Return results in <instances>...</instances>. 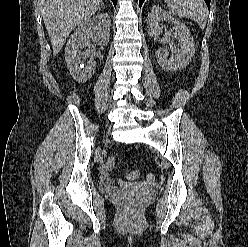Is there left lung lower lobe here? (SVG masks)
<instances>
[{"label":"left lung lower lobe","instance_id":"1","mask_svg":"<svg viewBox=\"0 0 248 247\" xmlns=\"http://www.w3.org/2000/svg\"><path fill=\"white\" fill-rule=\"evenodd\" d=\"M144 0H139V6L141 8L142 4H143ZM207 6H208V9H210V0H205Z\"/></svg>","mask_w":248,"mask_h":247}]
</instances>
